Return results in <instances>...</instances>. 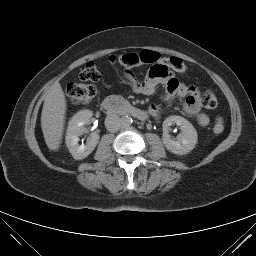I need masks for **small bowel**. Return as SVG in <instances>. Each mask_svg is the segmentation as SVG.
I'll list each match as a JSON object with an SVG mask.
<instances>
[{
  "label": "small bowel",
  "mask_w": 256,
  "mask_h": 256,
  "mask_svg": "<svg viewBox=\"0 0 256 256\" xmlns=\"http://www.w3.org/2000/svg\"><path fill=\"white\" fill-rule=\"evenodd\" d=\"M125 78L132 90L142 95H152L156 87L163 84L166 88L165 101L169 102L174 96L184 98V111L188 115L194 116L200 126L209 125L210 118L202 111L199 91L193 86L179 82L165 62L153 65L144 79H140L129 70L125 72ZM162 110L163 106L159 104H153L149 107V112L153 116L159 115Z\"/></svg>",
  "instance_id": "c3829d8e"
}]
</instances>
